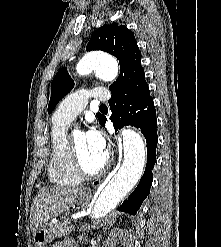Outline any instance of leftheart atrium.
<instances>
[{
  "instance_id": "obj_1",
  "label": "left heart atrium",
  "mask_w": 221,
  "mask_h": 247,
  "mask_svg": "<svg viewBox=\"0 0 221 247\" xmlns=\"http://www.w3.org/2000/svg\"><path fill=\"white\" fill-rule=\"evenodd\" d=\"M86 138L88 143L98 152L106 153V140L102 132L93 127L88 130L86 133Z\"/></svg>"
}]
</instances>
